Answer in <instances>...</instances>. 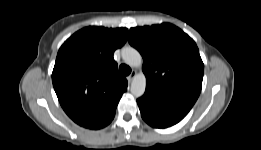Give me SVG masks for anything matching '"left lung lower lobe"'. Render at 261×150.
Returning <instances> with one entry per match:
<instances>
[{
    "instance_id": "0a47b994",
    "label": "left lung lower lobe",
    "mask_w": 261,
    "mask_h": 150,
    "mask_svg": "<svg viewBox=\"0 0 261 150\" xmlns=\"http://www.w3.org/2000/svg\"><path fill=\"white\" fill-rule=\"evenodd\" d=\"M137 103L144 121L155 128H166L178 123L192 108L175 99L149 94L137 99Z\"/></svg>"
}]
</instances>
